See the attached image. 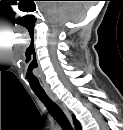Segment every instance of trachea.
Here are the masks:
<instances>
[{
  "label": "trachea",
  "instance_id": "obj_1",
  "mask_svg": "<svg viewBox=\"0 0 123 130\" xmlns=\"http://www.w3.org/2000/svg\"><path fill=\"white\" fill-rule=\"evenodd\" d=\"M39 100L45 105L54 120L61 126L63 130H73L62 109L45 93L34 92Z\"/></svg>",
  "mask_w": 123,
  "mask_h": 130
}]
</instances>
